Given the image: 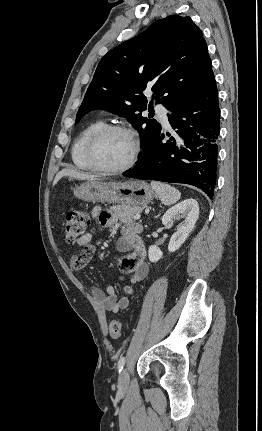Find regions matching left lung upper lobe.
<instances>
[{"instance_id":"1","label":"left lung upper lobe","mask_w":262,"mask_h":431,"mask_svg":"<svg viewBox=\"0 0 262 431\" xmlns=\"http://www.w3.org/2000/svg\"><path fill=\"white\" fill-rule=\"evenodd\" d=\"M213 79L201 30L190 17L171 15L103 56L75 123L94 109L127 117L146 150L161 125L142 117L141 112L153 108L143 91L150 89L153 98L173 112Z\"/></svg>"}]
</instances>
